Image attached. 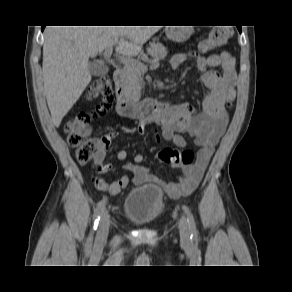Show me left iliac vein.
I'll return each instance as SVG.
<instances>
[{
    "mask_svg": "<svg viewBox=\"0 0 292 292\" xmlns=\"http://www.w3.org/2000/svg\"><path fill=\"white\" fill-rule=\"evenodd\" d=\"M179 232L183 241L187 242L189 240L190 232L188 229L187 222L184 217L179 220Z\"/></svg>",
    "mask_w": 292,
    "mask_h": 292,
    "instance_id": "obj_1",
    "label": "left iliac vein"
}]
</instances>
